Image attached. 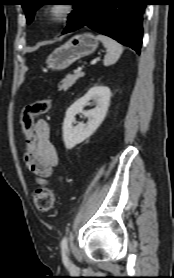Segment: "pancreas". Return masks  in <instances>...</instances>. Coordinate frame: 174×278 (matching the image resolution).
I'll use <instances>...</instances> for the list:
<instances>
[{"label": "pancreas", "instance_id": "pancreas-1", "mask_svg": "<svg viewBox=\"0 0 174 278\" xmlns=\"http://www.w3.org/2000/svg\"><path fill=\"white\" fill-rule=\"evenodd\" d=\"M83 73L68 74L59 85V90H68L79 78L83 77Z\"/></svg>", "mask_w": 174, "mask_h": 278}]
</instances>
